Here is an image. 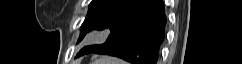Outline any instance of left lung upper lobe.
Wrapping results in <instances>:
<instances>
[{
    "mask_svg": "<svg viewBox=\"0 0 242 64\" xmlns=\"http://www.w3.org/2000/svg\"><path fill=\"white\" fill-rule=\"evenodd\" d=\"M121 0H92L89 5L88 14L81 26L80 42L86 33L95 30L98 21Z\"/></svg>",
    "mask_w": 242,
    "mask_h": 64,
    "instance_id": "5c2ea615",
    "label": "left lung upper lobe"
}]
</instances>
